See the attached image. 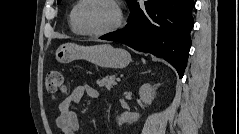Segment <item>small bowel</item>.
Segmentation results:
<instances>
[{
    "mask_svg": "<svg viewBox=\"0 0 239 134\" xmlns=\"http://www.w3.org/2000/svg\"><path fill=\"white\" fill-rule=\"evenodd\" d=\"M85 95L91 99H97L100 96L99 91L94 87L80 85L73 89V91L60 103V113L56 118V125L61 130L62 134L78 133L79 118L72 109V106L79 103Z\"/></svg>",
    "mask_w": 239,
    "mask_h": 134,
    "instance_id": "1",
    "label": "small bowel"
}]
</instances>
